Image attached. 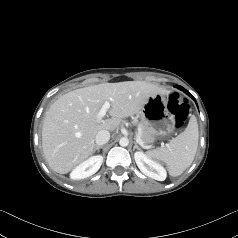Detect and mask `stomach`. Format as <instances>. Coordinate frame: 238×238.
<instances>
[{"instance_id": "0dacf381", "label": "stomach", "mask_w": 238, "mask_h": 238, "mask_svg": "<svg viewBox=\"0 0 238 238\" xmlns=\"http://www.w3.org/2000/svg\"><path fill=\"white\" fill-rule=\"evenodd\" d=\"M139 114L142 124L151 130L149 143L175 129V116L169 111L168 99L162 94L150 96Z\"/></svg>"}]
</instances>
